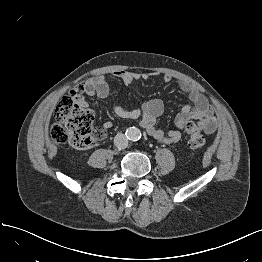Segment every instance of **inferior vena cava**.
<instances>
[{"label":"inferior vena cava","instance_id":"inferior-vena-cava-1","mask_svg":"<svg viewBox=\"0 0 262 262\" xmlns=\"http://www.w3.org/2000/svg\"><path fill=\"white\" fill-rule=\"evenodd\" d=\"M114 145L118 149H125L128 146V138L123 133H118L114 137Z\"/></svg>","mask_w":262,"mask_h":262}]
</instances>
